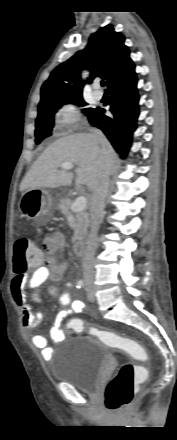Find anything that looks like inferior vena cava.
<instances>
[{
  "instance_id": "1",
  "label": "inferior vena cava",
  "mask_w": 177,
  "mask_h": 440,
  "mask_svg": "<svg viewBox=\"0 0 177 440\" xmlns=\"http://www.w3.org/2000/svg\"><path fill=\"white\" fill-rule=\"evenodd\" d=\"M92 132L102 141V133L93 129ZM109 188V171L104 161H100L99 175L93 188L92 202L90 207V233L87 238L86 247L83 255L82 267L83 278L85 281L94 278V255L96 249L97 233L100 225L102 213L105 208V200Z\"/></svg>"
}]
</instances>
